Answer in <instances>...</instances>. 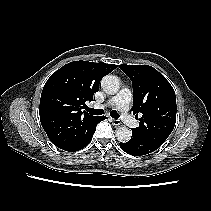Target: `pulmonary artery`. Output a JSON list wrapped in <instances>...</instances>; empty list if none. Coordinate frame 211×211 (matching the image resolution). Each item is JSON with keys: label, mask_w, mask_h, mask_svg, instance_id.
<instances>
[{"label": "pulmonary artery", "mask_w": 211, "mask_h": 211, "mask_svg": "<svg viewBox=\"0 0 211 211\" xmlns=\"http://www.w3.org/2000/svg\"><path fill=\"white\" fill-rule=\"evenodd\" d=\"M132 99V92L128 88L121 89L114 97H112L105 105L95 104L94 107L103 106L116 107L121 112L122 120L129 127H137L138 121L129 113V105Z\"/></svg>", "instance_id": "obj_1"}]
</instances>
